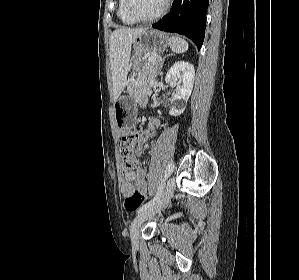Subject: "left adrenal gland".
Segmentation results:
<instances>
[{"mask_svg":"<svg viewBox=\"0 0 299 280\" xmlns=\"http://www.w3.org/2000/svg\"><path fill=\"white\" fill-rule=\"evenodd\" d=\"M167 56H168V55H167ZM165 58H166V57H163V58H162V61L160 62V65H161V66L164 64ZM160 69H161V68H160Z\"/></svg>","mask_w":299,"mask_h":280,"instance_id":"1","label":"left adrenal gland"}]
</instances>
